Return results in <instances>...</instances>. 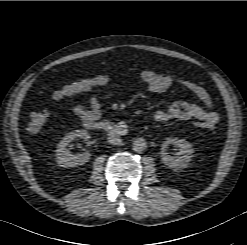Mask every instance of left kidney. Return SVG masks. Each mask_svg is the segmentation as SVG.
<instances>
[{"label":"left kidney","mask_w":247,"mask_h":245,"mask_svg":"<svg viewBox=\"0 0 247 245\" xmlns=\"http://www.w3.org/2000/svg\"><path fill=\"white\" fill-rule=\"evenodd\" d=\"M171 144L176 145L179 148L177 156H170L166 152V148ZM161 150L162 162L172 169H181L188 166L194 152V149L189 142L178 138H167L166 141L162 144Z\"/></svg>","instance_id":"5707ae66"}]
</instances>
